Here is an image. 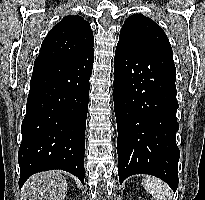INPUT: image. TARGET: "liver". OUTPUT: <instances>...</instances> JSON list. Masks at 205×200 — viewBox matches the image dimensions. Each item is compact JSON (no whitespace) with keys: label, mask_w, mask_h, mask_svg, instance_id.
<instances>
[{"label":"liver","mask_w":205,"mask_h":200,"mask_svg":"<svg viewBox=\"0 0 205 200\" xmlns=\"http://www.w3.org/2000/svg\"><path fill=\"white\" fill-rule=\"evenodd\" d=\"M67 182L60 171L32 175L23 186L22 196L28 200H63Z\"/></svg>","instance_id":"liver-1"}]
</instances>
